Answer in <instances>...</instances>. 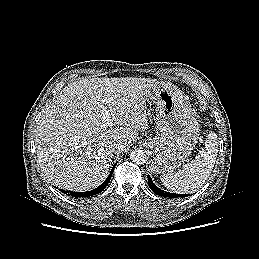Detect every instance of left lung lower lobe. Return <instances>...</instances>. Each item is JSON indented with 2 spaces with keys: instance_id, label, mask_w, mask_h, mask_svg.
<instances>
[{
  "instance_id": "left-lung-lower-lobe-1",
  "label": "left lung lower lobe",
  "mask_w": 259,
  "mask_h": 259,
  "mask_svg": "<svg viewBox=\"0 0 259 259\" xmlns=\"http://www.w3.org/2000/svg\"><path fill=\"white\" fill-rule=\"evenodd\" d=\"M148 185L150 187V189L156 193L159 196H164V197H170V198H175V197H187L188 195H181V194H174V193H169L166 192L164 190H161L160 188H158L152 181L151 177L148 175Z\"/></svg>"
}]
</instances>
